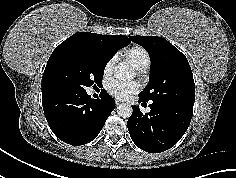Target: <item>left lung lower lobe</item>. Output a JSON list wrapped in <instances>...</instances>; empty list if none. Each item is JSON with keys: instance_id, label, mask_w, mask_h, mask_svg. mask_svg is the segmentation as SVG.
Listing matches in <instances>:
<instances>
[{"instance_id": "left-lung-lower-lobe-1", "label": "left lung lower lobe", "mask_w": 236, "mask_h": 178, "mask_svg": "<svg viewBox=\"0 0 236 178\" xmlns=\"http://www.w3.org/2000/svg\"><path fill=\"white\" fill-rule=\"evenodd\" d=\"M140 102H145L139 99ZM149 113L143 114L139 106H132L133 113L127 127L133 142L142 150L160 153L173 147L185 134L193 114V107L151 103Z\"/></svg>"}]
</instances>
